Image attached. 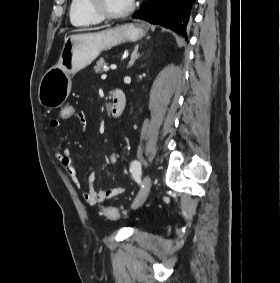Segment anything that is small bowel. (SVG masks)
<instances>
[{
  "label": "small bowel",
  "mask_w": 280,
  "mask_h": 283,
  "mask_svg": "<svg viewBox=\"0 0 280 283\" xmlns=\"http://www.w3.org/2000/svg\"><path fill=\"white\" fill-rule=\"evenodd\" d=\"M73 117L76 118V120L79 122V124L82 127L86 125L87 118L83 112H74ZM60 120H63V119H52L50 121V127L53 129L59 128L61 124ZM54 155H55V158L60 162V164L66 171V173L69 175V177L73 180V182L77 186H80L81 180L75 168L74 160L71 155L70 149L65 148L62 150H56ZM117 158H118V152L116 149H114L111 152L110 160L111 162L114 163L116 162ZM95 180H96L95 173L94 172L89 173L86 177L88 188L82 193L83 199L90 206H97L103 203L104 201H106L107 199L123 193V189L119 187L96 190Z\"/></svg>",
  "instance_id": "c3829d8e"
}]
</instances>
